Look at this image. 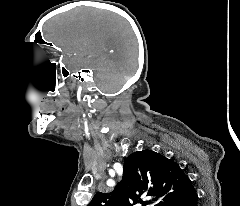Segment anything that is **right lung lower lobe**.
<instances>
[{"label": "right lung lower lobe", "mask_w": 240, "mask_h": 206, "mask_svg": "<svg viewBox=\"0 0 240 206\" xmlns=\"http://www.w3.org/2000/svg\"><path fill=\"white\" fill-rule=\"evenodd\" d=\"M164 206H198V195L193 186L185 193L171 199Z\"/></svg>", "instance_id": "obj_1"}]
</instances>
